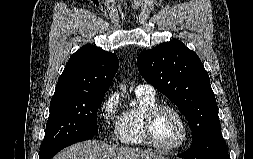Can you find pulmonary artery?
Instances as JSON below:
<instances>
[{"mask_svg":"<svg viewBox=\"0 0 253 159\" xmlns=\"http://www.w3.org/2000/svg\"><path fill=\"white\" fill-rule=\"evenodd\" d=\"M136 94L155 95V89L150 84H140L135 89Z\"/></svg>","mask_w":253,"mask_h":159,"instance_id":"e3ab8cb5","label":"pulmonary artery"}]
</instances>
